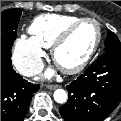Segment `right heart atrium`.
<instances>
[{
  "label": "right heart atrium",
  "instance_id": "obj_1",
  "mask_svg": "<svg viewBox=\"0 0 121 121\" xmlns=\"http://www.w3.org/2000/svg\"><path fill=\"white\" fill-rule=\"evenodd\" d=\"M45 52L32 37L20 35L14 42L12 61L16 69L24 76H32L43 66Z\"/></svg>",
  "mask_w": 121,
  "mask_h": 121
}]
</instances>
